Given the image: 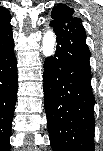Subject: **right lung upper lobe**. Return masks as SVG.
I'll list each match as a JSON object with an SVG mask.
<instances>
[{
	"mask_svg": "<svg viewBox=\"0 0 103 151\" xmlns=\"http://www.w3.org/2000/svg\"><path fill=\"white\" fill-rule=\"evenodd\" d=\"M10 19L6 18V19H1L0 20V29L4 28L5 26L9 25L10 23Z\"/></svg>",
	"mask_w": 103,
	"mask_h": 151,
	"instance_id": "1",
	"label": "right lung upper lobe"
}]
</instances>
